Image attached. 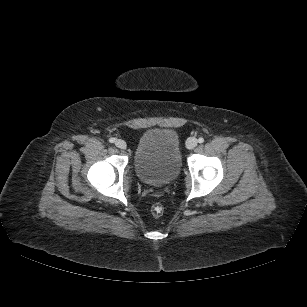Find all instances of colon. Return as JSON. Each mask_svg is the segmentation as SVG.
I'll return each mask as SVG.
<instances>
[{"label":"colon","instance_id":"1","mask_svg":"<svg viewBox=\"0 0 307 307\" xmlns=\"http://www.w3.org/2000/svg\"><path fill=\"white\" fill-rule=\"evenodd\" d=\"M151 214L154 217H159L163 214V207L160 204H154L151 208Z\"/></svg>","mask_w":307,"mask_h":307}]
</instances>
